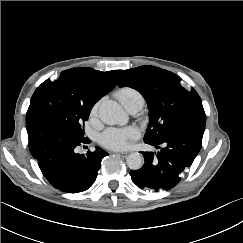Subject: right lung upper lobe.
Listing matches in <instances>:
<instances>
[{
	"instance_id": "right-lung-upper-lobe-1",
	"label": "right lung upper lobe",
	"mask_w": 243,
	"mask_h": 243,
	"mask_svg": "<svg viewBox=\"0 0 243 243\" xmlns=\"http://www.w3.org/2000/svg\"><path fill=\"white\" fill-rule=\"evenodd\" d=\"M121 70L101 72L89 67L63 71L55 80L72 97L93 105L116 85Z\"/></svg>"
}]
</instances>
